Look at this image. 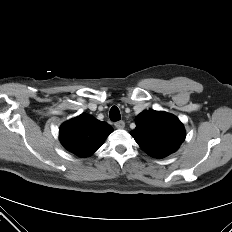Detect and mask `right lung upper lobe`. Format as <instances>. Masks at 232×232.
<instances>
[{
	"label": "right lung upper lobe",
	"mask_w": 232,
	"mask_h": 232,
	"mask_svg": "<svg viewBox=\"0 0 232 232\" xmlns=\"http://www.w3.org/2000/svg\"><path fill=\"white\" fill-rule=\"evenodd\" d=\"M113 128L89 114H81L64 123L59 132L62 145L80 157H88L103 144Z\"/></svg>",
	"instance_id": "cb5924a9"
}]
</instances>
